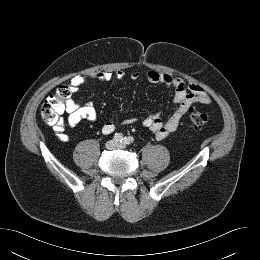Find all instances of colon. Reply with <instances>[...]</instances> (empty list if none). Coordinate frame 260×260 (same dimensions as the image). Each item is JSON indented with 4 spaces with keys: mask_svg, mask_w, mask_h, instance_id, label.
I'll return each instance as SVG.
<instances>
[{
    "mask_svg": "<svg viewBox=\"0 0 260 260\" xmlns=\"http://www.w3.org/2000/svg\"><path fill=\"white\" fill-rule=\"evenodd\" d=\"M70 90L66 86H60L56 93L49 96L41 106L40 114L44 122L49 125L62 123V115L67 109L70 99ZM190 125L193 129H201L208 126L211 117L203 112L192 110L189 115Z\"/></svg>",
    "mask_w": 260,
    "mask_h": 260,
    "instance_id": "colon-1",
    "label": "colon"
}]
</instances>
